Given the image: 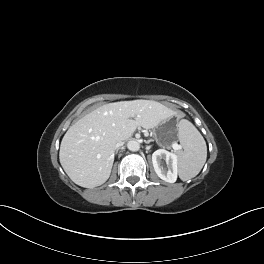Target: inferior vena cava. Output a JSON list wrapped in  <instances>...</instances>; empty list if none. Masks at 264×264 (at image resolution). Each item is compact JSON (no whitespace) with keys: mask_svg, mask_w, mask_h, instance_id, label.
Instances as JSON below:
<instances>
[{"mask_svg":"<svg viewBox=\"0 0 264 264\" xmlns=\"http://www.w3.org/2000/svg\"><path fill=\"white\" fill-rule=\"evenodd\" d=\"M122 145H123L122 141H117L116 144H115V149L119 148Z\"/></svg>","mask_w":264,"mask_h":264,"instance_id":"1","label":"inferior vena cava"}]
</instances>
